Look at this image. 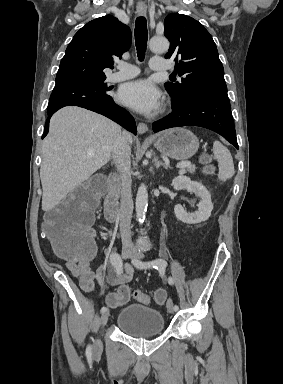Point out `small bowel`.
<instances>
[{"instance_id": "c3829d8e", "label": "small bowel", "mask_w": 283, "mask_h": 384, "mask_svg": "<svg viewBox=\"0 0 283 384\" xmlns=\"http://www.w3.org/2000/svg\"><path fill=\"white\" fill-rule=\"evenodd\" d=\"M66 267L78 279L80 288L85 293L94 291L96 284L103 289L108 288L110 285L126 284L132 280L134 273V269L130 264L125 265L124 272L121 274L108 269L104 264L93 270L89 266V260L67 261Z\"/></svg>"}]
</instances>
